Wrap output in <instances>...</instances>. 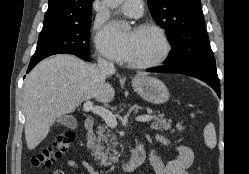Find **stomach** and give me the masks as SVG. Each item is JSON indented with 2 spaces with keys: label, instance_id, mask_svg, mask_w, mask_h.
Returning <instances> with one entry per match:
<instances>
[{
  "label": "stomach",
  "instance_id": "1",
  "mask_svg": "<svg viewBox=\"0 0 249 174\" xmlns=\"http://www.w3.org/2000/svg\"><path fill=\"white\" fill-rule=\"evenodd\" d=\"M132 86L142 98L153 104H163L170 97L165 84L154 77L136 76L132 80Z\"/></svg>",
  "mask_w": 249,
  "mask_h": 174
}]
</instances>
